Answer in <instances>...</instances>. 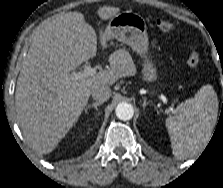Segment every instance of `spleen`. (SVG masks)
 <instances>
[{
    "mask_svg": "<svg viewBox=\"0 0 223 188\" xmlns=\"http://www.w3.org/2000/svg\"><path fill=\"white\" fill-rule=\"evenodd\" d=\"M218 112V98L212 86L201 87L194 98L177 107L166 119L175 156H189L211 133Z\"/></svg>",
    "mask_w": 223,
    "mask_h": 188,
    "instance_id": "1",
    "label": "spleen"
}]
</instances>
